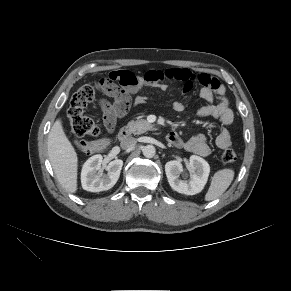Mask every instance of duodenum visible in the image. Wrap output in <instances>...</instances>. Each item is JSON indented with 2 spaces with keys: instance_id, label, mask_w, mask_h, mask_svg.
Segmentation results:
<instances>
[{
  "instance_id": "obj_1",
  "label": "duodenum",
  "mask_w": 291,
  "mask_h": 291,
  "mask_svg": "<svg viewBox=\"0 0 291 291\" xmlns=\"http://www.w3.org/2000/svg\"><path fill=\"white\" fill-rule=\"evenodd\" d=\"M129 136H130V129L128 127H122L119 130V133H118L119 140L124 141V140L128 139Z\"/></svg>"
}]
</instances>
